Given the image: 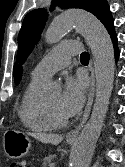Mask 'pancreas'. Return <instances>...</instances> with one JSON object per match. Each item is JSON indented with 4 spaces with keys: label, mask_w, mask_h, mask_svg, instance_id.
<instances>
[{
    "label": "pancreas",
    "mask_w": 125,
    "mask_h": 167,
    "mask_svg": "<svg viewBox=\"0 0 125 167\" xmlns=\"http://www.w3.org/2000/svg\"><path fill=\"white\" fill-rule=\"evenodd\" d=\"M53 159H54V156H52V155H50L48 157H45L43 159V165H44V167L50 166V164H51V162H52Z\"/></svg>",
    "instance_id": "cf45deb5"
}]
</instances>
